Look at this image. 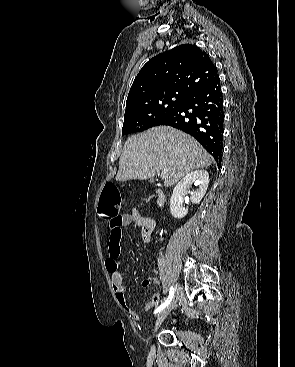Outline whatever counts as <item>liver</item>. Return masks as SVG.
I'll list each match as a JSON object with an SVG mask.
<instances>
[{
  "instance_id": "6515ba94",
  "label": "liver",
  "mask_w": 295,
  "mask_h": 367,
  "mask_svg": "<svg viewBox=\"0 0 295 367\" xmlns=\"http://www.w3.org/2000/svg\"><path fill=\"white\" fill-rule=\"evenodd\" d=\"M212 161L210 154L191 136L159 126L127 139L116 180H152L158 172L168 170L163 178L168 187L188 172L209 166Z\"/></svg>"
}]
</instances>
